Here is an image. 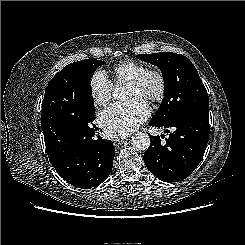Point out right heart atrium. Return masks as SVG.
<instances>
[{
  "instance_id": "obj_1",
  "label": "right heart atrium",
  "mask_w": 245,
  "mask_h": 245,
  "mask_svg": "<svg viewBox=\"0 0 245 245\" xmlns=\"http://www.w3.org/2000/svg\"><path fill=\"white\" fill-rule=\"evenodd\" d=\"M89 91L94 105L101 107L111 100L113 84L104 71L97 70L90 77Z\"/></svg>"
}]
</instances>
